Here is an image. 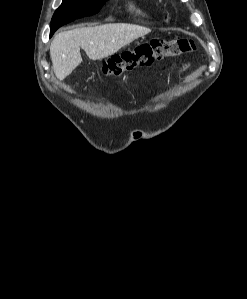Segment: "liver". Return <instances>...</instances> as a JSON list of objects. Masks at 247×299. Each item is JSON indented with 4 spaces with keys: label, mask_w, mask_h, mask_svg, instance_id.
Masks as SVG:
<instances>
[{
    "label": "liver",
    "mask_w": 247,
    "mask_h": 299,
    "mask_svg": "<svg viewBox=\"0 0 247 299\" xmlns=\"http://www.w3.org/2000/svg\"><path fill=\"white\" fill-rule=\"evenodd\" d=\"M151 32V29L127 23H112L94 27H82L60 32L50 46L53 70L59 80L65 79L80 65V48L91 60L113 55L135 39Z\"/></svg>",
    "instance_id": "liver-1"
}]
</instances>
